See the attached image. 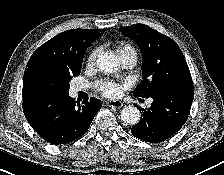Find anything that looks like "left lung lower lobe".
<instances>
[{"mask_svg": "<svg viewBox=\"0 0 224 175\" xmlns=\"http://www.w3.org/2000/svg\"><path fill=\"white\" fill-rule=\"evenodd\" d=\"M150 97L151 107L140 108L142 118L131 133L140 140L158 143L172 137L187 121L194 91L168 89Z\"/></svg>", "mask_w": 224, "mask_h": 175, "instance_id": "left-lung-lower-lobe-1", "label": "left lung lower lobe"}]
</instances>
